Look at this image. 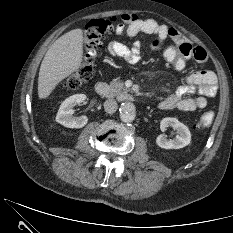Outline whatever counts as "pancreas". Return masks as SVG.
<instances>
[{"instance_id":"cf45deb5","label":"pancreas","mask_w":233,"mask_h":233,"mask_svg":"<svg viewBox=\"0 0 233 233\" xmlns=\"http://www.w3.org/2000/svg\"><path fill=\"white\" fill-rule=\"evenodd\" d=\"M109 90H110L109 91V96L110 97L119 96L122 93L129 92V90L124 86V84L119 82V81L110 82Z\"/></svg>"}]
</instances>
